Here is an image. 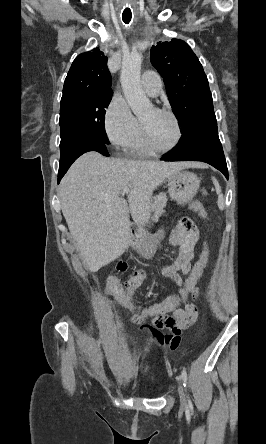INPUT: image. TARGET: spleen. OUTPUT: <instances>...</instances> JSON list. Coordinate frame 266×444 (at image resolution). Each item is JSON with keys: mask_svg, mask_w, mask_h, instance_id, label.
<instances>
[{"mask_svg": "<svg viewBox=\"0 0 266 444\" xmlns=\"http://www.w3.org/2000/svg\"><path fill=\"white\" fill-rule=\"evenodd\" d=\"M212 179H213V183L216 188V192L218 194V207L220 210H223L224 209V197H223V194L221 193V187H220L218 181L214 177Z\"/></svg>", "mask_w": 266, "mask_h": 444, "instance_id": "3e777b00", "label": "spleen"}]
</instances>
